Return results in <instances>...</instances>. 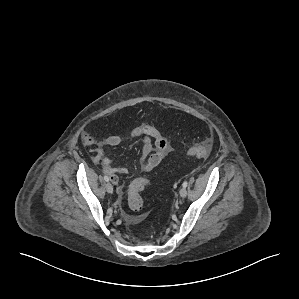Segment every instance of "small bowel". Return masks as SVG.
Segmentation results:
<instances>
[{
	"label": "small bowel",
	"mask_w": 299,
	"mask_h": 299,
	"mask_svg": "<svg viewBox=\"0 0 299 299\" xmlns=\"http://www.w3.org/2000/svg\"><path fill=\"white\" fill-rule=\"evenodd\" d=\"M141 138L143 148L141 153V168L145 172L152 171L170 152L171 146L162 136L160 131L148 124H141L133 129L126 136L113 135L103 141L105 146H118L126 141ZM94 163L100 165L107 173L114 184L119 183L117 174H127L128 169L125 167H114L112 160L109 159L101 148L95 150L93 156Z\"/></svg>",
	"instance_id": "c3829d8e"
}]
</instances>
